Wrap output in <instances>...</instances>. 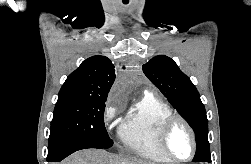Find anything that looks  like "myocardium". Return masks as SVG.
<instances>
[{
    "instance_id": "f54148a6",
    "label": "myocardium",
    "mask_w": 251,
    "mask_h": 164,
    "mask_svg": "<svg viewBox=\"0 0 251 164\" xmlns=\"http://www.w3.org/2000/svg\"><path fill=\"white\" fill-rule=\"evenodd\" d=\"M176 124L183 125L188 131L191 138L192 150L191 154L187 158H177L173 156L168 149L167 145L168 137ZM158 145L164 156L167 157L170 161L175 163L190 161L195 156L197 151V140L194 129L185 118L176 114L169 116L162 122L158 131Z\"/></svg>"
}]
</instances>
